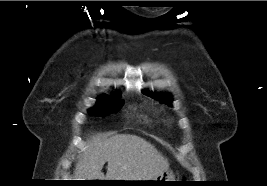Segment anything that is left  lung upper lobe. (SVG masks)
Masks as SVG:
<instances>
[{
	"label": "left lung upper lobe",
	"instance_id": "5c2ea615",
	"mask_svg": "<svg viewBox=\"0 0 267 186\" xmlns=\"http://www.w3.org/2000/svg\"><path fill=\"white\" fill-rule=\"evenodd\" d=\"M147 94V92H144ZM148 95V94H147ZM153 98V95H152ZM156 100H159L160 103H165V104H170L171 97L169 94H161V95H156L154 96Z\"/></svg>",
	"mask_w": 267,
	"mask_h": 186
}]
</instances>
